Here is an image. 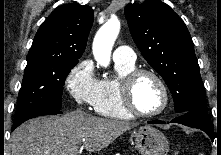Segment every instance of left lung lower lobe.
<instances>
[{"label": "left lung lower lobe", "mask_w": 221, "mask_h": 155, "mask_svg": "<svg viewBox=\"0 0 221 155\" xmlns=\"http://www.w3.org/2000/svg\"><path fill=\"white\" fill-rule=\"evenodd\" d=\"M172 123H180L189 127L198 128L203 130L210 136L212 141L214 140L213 123L211 122L207 110L194 109L186 113L181 114L179 117L173 119ZM149 124H165L164 121L153 120L149 121Z\"/></svg>", "instance_id": "0a47b994"}]
</instances>
